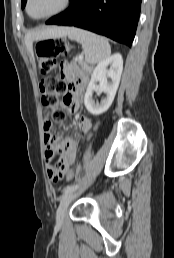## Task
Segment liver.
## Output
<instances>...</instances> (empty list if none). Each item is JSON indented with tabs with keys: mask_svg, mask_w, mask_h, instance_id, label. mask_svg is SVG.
<instances>
[{
	"mask_svg": "<svg viewBox=\"0 0 174 258\" xmlns=\"http://www.w3.org/2000/svg\"><path fill=\"white\" fill-rule=\"evenodd\" d=\"M68 28L66 27H49L42 31L30 32L25 36V43L28 50L33 53V41L47 38H58L67 35Z\"/></svg>",
	"mask_w": 174,
	"mask_h": 258,
	"instance_id": "6515ba94",
	"label": "liver"
}]
</instances>
